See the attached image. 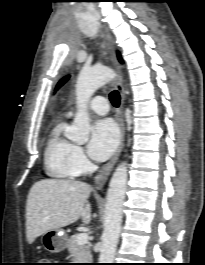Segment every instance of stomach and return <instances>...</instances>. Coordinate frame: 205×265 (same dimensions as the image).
<instances>
[{"label": "stomach", "instance_id": "1", "mask_svg": "<svg viewBox=\"0 0 205 265\" xmlns=\"http://www.w3.org/2000/svg\"><path fill=\"white\" fill-rule=\"evenodd\" d=\"M41 240L44 248L51 253L61 252L67 247V236L61 229L44 233Z\"/></svg>", "mask_w": 205, "mask_h": 265}]
</instances>
